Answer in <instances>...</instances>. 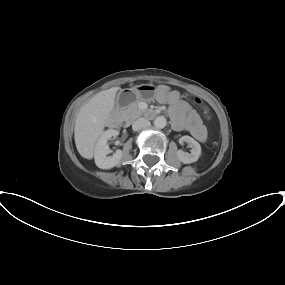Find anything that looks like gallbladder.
<instances>
[{
  "label": "gallbladder",
  "instance_id": "bac80fb5",
  "mask_svg": "<svg viewBox=\"0 0 285 285\" xmlns=\"http://www.w3.org/2000/svg\"><path fill=\"white\" fill-rule=\"evenodd\" d=\"M124 93L125 92H120V94H119L120 95V99L123 97Z\"/></svg>",
  "mask_w": 285,
  "mask_h": 285
}]
</instances>
